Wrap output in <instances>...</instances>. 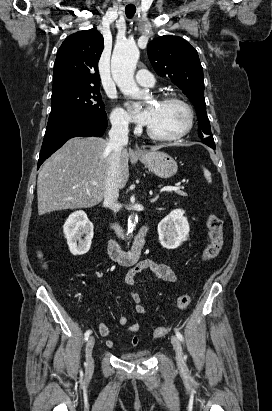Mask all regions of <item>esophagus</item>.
<instances>
[{
  "mask_svg": "<svg viewBox=\"0 0 272 411\" xmlns=\"http://www.w3.org/2000/svg\"><path fill=\"white\" fill-rule=\"evenodd\" d=\"M134 153H135V154H141V150H140V149H135V150H134Z\"/></svg>",
  "mask_w": 272,
  "mask_h": 411,
  "instance_id": "34e87169",
  "label": "esophagus"
}]
</instances>
